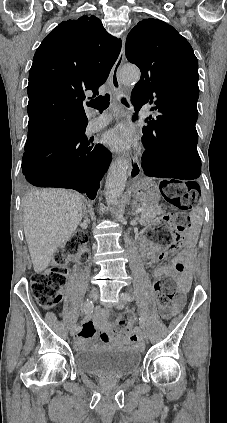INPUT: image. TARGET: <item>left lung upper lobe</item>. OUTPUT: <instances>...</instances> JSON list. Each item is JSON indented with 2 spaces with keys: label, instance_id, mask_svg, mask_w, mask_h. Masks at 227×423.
I'll list each match as a JSON object with an SVG mask.
<instances>
[{
  "label": "left lung upper lobe",
  "instance_id": "left-lung-upper-lobe-1",
  "mask_svg": "<svg viewBox=\"0 0 227 423\" xmlns=\"http://www.w3.org/2000/svg\"><path fill=\"white\" fill-rule=\"evenodd\" d=\"M126 57L141 70L131 94L135 111L197 119L198 61L189 42L157 19L140 21L126 39Z\"/></svg>",
  "mask_w": 227,
  "mask_h": 423
}]
</instances>
